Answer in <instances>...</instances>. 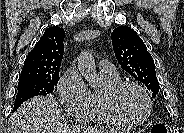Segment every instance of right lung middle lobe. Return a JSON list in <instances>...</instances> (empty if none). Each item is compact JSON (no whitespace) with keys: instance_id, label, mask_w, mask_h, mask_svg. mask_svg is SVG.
Here are the masks:
<instances>
[{"instance_id":"right-lung-middle-lobe-1","label":"right lung middle lobe","mask_w":184,"mask_h":133,"mask_svg":"<svg viewBox=\"0 0 184 133\" xmlns=\"http://www.w3.org/2000/svg\"><path fill=\"white\" fill-rule=\"evenodd\" d=\"M59 76L49 79H23L18 82L13 112L26 100L34 96L52 95L54 87L57 86Z\"/></svg>"}]
</instances>
